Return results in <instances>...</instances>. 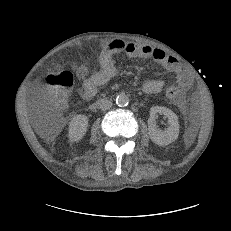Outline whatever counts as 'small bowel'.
I'll return each instance as SVG.
<instances>
[{
  "label": "small bowel",
  "mask_w": 231,
  "mask_h": 231,
  "mask_svg": "<svg viewBox=\"0 0 231 231\" xmlns=\"http://www.w3.org/2000/svg\"><path fill=\"white\" fill-rule=\"evenodd\" d=\"M124 53L131 58L152 59L167 71L176 75L177 87L186 90L192 83L191 73L173 56L161 49L148 45H140L123 39H113L102 45L99 54V69L91 76H87L88 67L82 63L75 67L76 75L81 82L80 96L84 100L93 98L98 89L106 85L117 73L116 56ZM164 82L160 79H148L142 90L146 94H155L162 90Z\"/></svg>",
  "instance_id": "c3829d8e"
}]
</instances>
